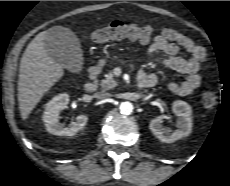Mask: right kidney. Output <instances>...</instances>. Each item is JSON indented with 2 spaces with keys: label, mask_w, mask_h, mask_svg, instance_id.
<instances>
[{
  "label": "right kidney",
  "mask_w": 230,
  "mask_h": 186,
  "mask_svg": "<svg viewBox=\"0 0 230 186\" xmlns=\"http://www.w3.org/2000/svg\"><path fill=\"white\" fill-rule=\"evenodd\" d=\"M69 95L62 93L50 100L45 107L43 122L49 133L57 136H74L79 130L83 129L87 123V115H79L70 127H66L59 122V113L67 107Z\"/></svg>",
  "instance_id": "1"
}]
</instances>
